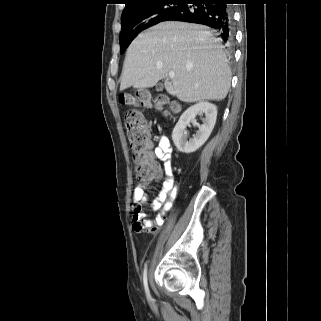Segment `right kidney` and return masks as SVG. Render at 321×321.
<instances>
[{"label":"right kidney","instance_id":"1","mask_svg":"<svg viewBox=\"0 0 321 321\" xmlns=\"http://www.w3.org/2000/svg\"><path fill=\"white\" fill-rule=\"evenodd\" d=\"M205 114L202 125L198 126V131L193 138L187 140V126L191 121H195L197 115ZM217 118V108L207 101L189 107L180 117L173 129L172 140L176 148L183 153H193L199 149L209 138Z\"/></svg>","mask_w":321,"mask_h":321}]
</instances>
